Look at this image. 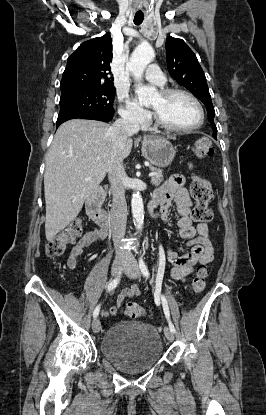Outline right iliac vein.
I'll return each instance as SVG.
<instances>
[{
	"mask_svg": "<svg viewBox=\"0 0 266 415\" xmlns=\"http://www.w3.org/2000/svg\"><path fill=\"white\" fill-rule=\"evenodd\" d=\"M125 266H126V261L124 259H120V258L116 259L113 262L112 269H111L112 276H118L122 272ZM92 330L94 333H98L101 330V323L98 318H95L94 321L92 322Z\"/></svg>",
	"mask_w": 266,
	"mask_h": 415,
	"instance_id": "obj_1",
	"label": "right iliac vein"
}]
</instances>
